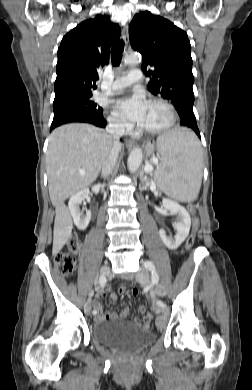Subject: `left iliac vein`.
<instances>
[{
    "label": "left iliac vein",
    "instance_id": "obj_1",
    "mask_svg": "<svg viewBox=\"0 0 252 390\" xmlns=\"http://www.w3.org/2000/svg\"><path fill=\"white\" fill-rule=\"evenodd\" d=\"M136 280L144 285H150L149 280V273L146 268H142L137 274H136ZM165 295V288L162 285H157L156 290L151 287L150 289V295L153 301V310L156 314L161 315L165 313V310L161 308V306L158 304L157 296L156 294Z\"/></svg>",
    "mask_w": 252,
    "mask_h": 390
}]
</instances>
